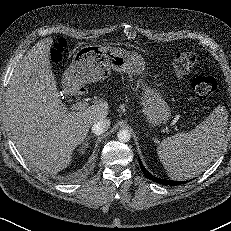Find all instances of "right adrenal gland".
<instances>
[{"instance_id":"2a0ac1e0","label":"right adrenal gland","mask_w":231,"mask_h":231,"mask_svg":"<svg viewBox=\"0 0 231 231\" xmlns=\"http://www.w3.org/2000/svg\"><path fill=\"white\" fill-rule=\"evenodd\" d=\"M91 136H88L85 140V142H83L82 144V153H84L86 151V149L89 146V140H90Z\"/></svg>"}]
</instances>
